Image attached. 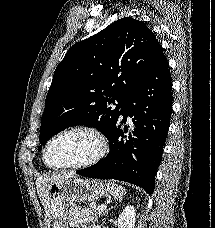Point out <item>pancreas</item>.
Returning <instances> with one entry per match:
<instances>
[{
	"mask_svg": "<svg viewBox=\"0 0 215 228\" xmlns=\"http://www.w3.org/2000/svg\"><path fill=\"white\" fill-rule=\"evenodd\" d=\"M101 216L100 210H86V208H78L71 206L69 210L68 222L71 228H82L89 222H95Z\"/></svg>",
	"mask_w": 215,
	"mask_h": 228,
	"instance_id": "cf45deb5",
	"label": "pancreas"
}]
</instances>
